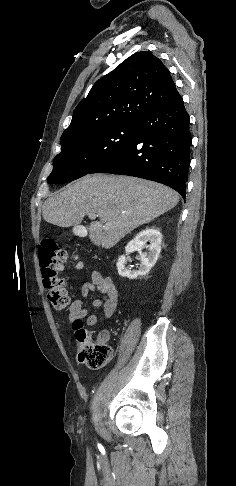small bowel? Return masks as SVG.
<instances>
[{
	"mask_svg": "<svg viewBox=\"0 0 236 486\" xmlns=\"http://www.w3.org/2000/svg\"><path fill=\"white\" fill-rule=\"evenodd\" d=\"M94 292H99L103 296L92 302V307L102 309V313L89 314L84 306V299L89 298ZM82 299L73 301L69 307V323L73 324L77 320L86 318L88 326H95L99 321L110 318L118 305V289L110 277L103 276L98 271H92L90 282H86L81 288ZM109 339V332L102 330L98 334V340L106 342Z\"/></svg>",
	"mask_w": 236,
	"mask_h": 486,
	"instance_id": "1",
	"label": "small bowel"
}]
</instances>
